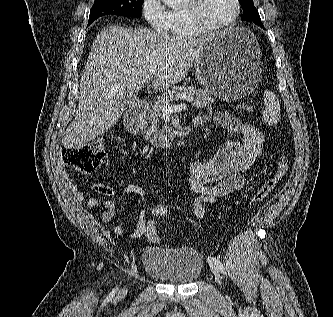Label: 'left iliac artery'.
<instances>
[{
  "instance_id": "44dca946",
  "label": "left iliac artery",
  "mask_w": 333,
  "mask_h": 317,
  "mask_svg": "<svg viewBox=\"0 0 333 317\" xmlns=\"http://www.w3.org/2000/svg\"><path fill=\"white\" fill-rule=\"evenodd\" d=\"M208 263L215 265L220 271H223V265L218 258L215 257H208Z\"/></svg>"
}]
</instances>
